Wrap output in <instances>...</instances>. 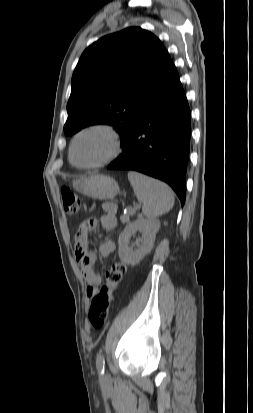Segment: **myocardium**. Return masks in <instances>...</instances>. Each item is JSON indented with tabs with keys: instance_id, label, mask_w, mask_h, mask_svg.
Wrapping results in <instances>:
<instances>
[{
	"instance_id": "obj_1",
	"label": "myocardium",
	"mask_w": 253,
	"mask_h": 413,
	"mask_svg": "<svg viewBox=\"0 0 253 413\" xmlns=\"http://www.w3.org/2000/svg\"><path fill=\"white\" fill-rule=\"evenodd\" d=\"M89 132H101L105 134L109 140H110V149L107 152V154L102 157L100 160L97 162L91 163V164H80L78 163L75 158H74V148L77 140L84 134L89 133ZM122 150V141L120 138L119 133L117 130L110 124L107 123H94L87 125L83 128H81L79 131H77L70 143V148H69V158L70 161L79 168L83 169H92V168H98L101 166H104L111 161L115 160L119 154L121 153Z\"/></svg>"
}]
</instances>
